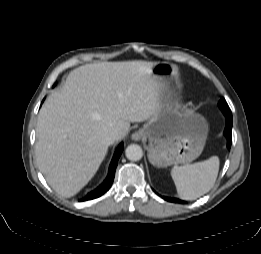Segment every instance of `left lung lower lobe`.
<instances>
[{
	"instance_id": "1",
	"label": "left lung lower lobe",
	"mask_w": 261,
	"mask_h": 254,
	"mask_svg": "<svg viewBox=\"0 0 261 254\" xmlns=\"http://www.w3.org/2000/svg\"><path fill=\"white\" fill-rule=\"evenodd\" d=\"M224 115L226 117V128L224 130V135L226 136V138L228 140L227 147H228V149H230L231 143H232V114L224 113ZM163 198L169 202L184 203V201L177 199V198H170V197H165V196Z\"/></svg>"
}]
</instances>
